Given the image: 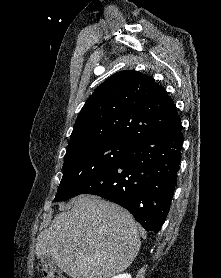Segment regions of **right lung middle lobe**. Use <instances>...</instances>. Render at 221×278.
Segmentation results:
<instances>
[{
    "mask_svg": "<svg viewBox=\"0 0 221 278\" xmlns=\"http://www.w3.org/2000/svg\"><path fill=\"white\" fill-rule=\"evenodd\" d=\"M130 144L131 141L123 139H93L67 150L54 201L74 197L80 187L117 162Z\"/></svg>",
    "mask_w": 221,
    "mask_h": 278,
    "instance_id": "dd1d6c3e",
    "label": "right lung middle lobe"
}]
</instances>
